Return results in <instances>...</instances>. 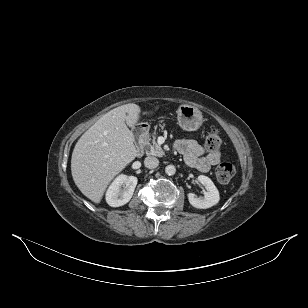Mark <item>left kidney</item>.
Returning a JSON list of instances; mask_svg holds the SVG:
<instances>
[{"instance_id": "5707ae66", "label": "left kidney", "mask_w": 308, "mask_h": 308, "mask_svg": "<svg viewBox=\"0 0 308 308\" xmlns=\"http://www.w3.org/2000/svg\"><path fill=\"white\" fill-rule=\"evenodd\" d=\"M198 181L205 187L204 197L198 198L193 193H188L189 203L199 209H207L216 205L219 200V192L210 178L204 175L198 176Z\"/></svg>"}]
</instances>
